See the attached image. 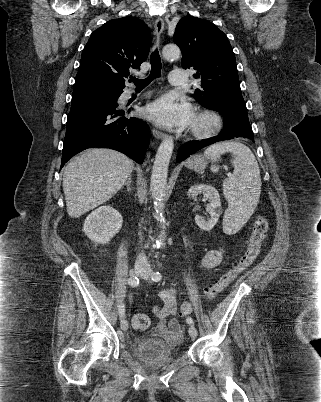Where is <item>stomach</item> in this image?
I'll return each instance as SVG.
<instances>
[{"mask_svg":"<svg viewBox=\"0 0 321 402\" xmlns=\"http://www.w3.org/2000/svg\"><path fill=\"white\" fill-rule=\"evenodd\" d=\"M186 165L195 171L201 172L206 168L207 160L202 155H194L187 160Z\"/></svg>","mask_w":321,"mask_h":402,"instance_id":"1","label":"stomach"}]
</instances>
